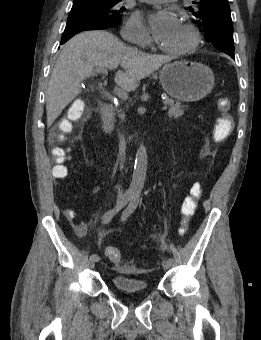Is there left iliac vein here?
Listing matches in <instances>:
<instances>
[{
  "instance_id": "4c4485c4",
  "label": "left iliac vein",
  "mask_w": 261,
  "mask_h": 340,
  "mask_svg": "<svg viewBox=\"0 0 261 340\" xmlns=\"http://www.w3.org/2000/svg\"><path fill=\"white\" fill-rule=\"evenodd\" d=\"M162 267L164 270H168L171 267V264L167 260H163Z\"/></svg>"
}]
</instances>
